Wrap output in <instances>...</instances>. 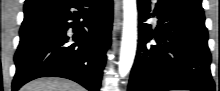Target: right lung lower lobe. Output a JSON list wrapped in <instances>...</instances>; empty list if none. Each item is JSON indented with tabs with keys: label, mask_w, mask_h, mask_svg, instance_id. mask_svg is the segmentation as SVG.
I'll return each instance as SVG.
<instances>
[{
	"label": "right lung lower lobe",
	"mask_w": 220,
	"mask_h": 91,
	"mask_svg": "<svg viewBox=\"0 0 220 91\" xmlns=\"http://www.w3.org/2000/svg\"><path fill=\"white\" fill-rule=\"evenodd\" d=\"M112 19V0H54L24 9L12 90L39 77H63L99 91Z\"/></svg>",
	"instance_id": "1"
}]
</instances>
